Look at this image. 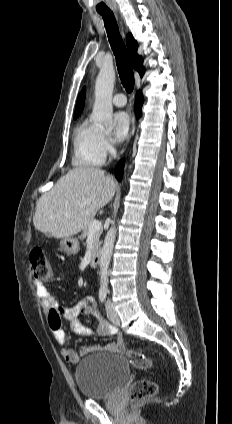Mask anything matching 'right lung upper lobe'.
I'll return each mask as SVG.
<instances>
[{
    "mask_svg": "<svg viewBox=\"0 0 232 424\" xmlns=\"http://www.w3.org/2000/svg\"><path fill=\"white\" fill-rule=\"evenodd\" d=\"M126 43L127 48L129 51V55L131 58V62L133 67L139 72L140 76L142 77L144 74V67H143V60L142 57L137 54L138 49V43L133 38L132 34H128L126 37ZM85 103V88L81 91L79 94V97L77 99L76 108H75V114L74 116H79L84 108Z\"/></svg>",
    "mask_w": 232,
    "mask_h": 424,
    "instance_id": "obj_1",
    "label": "right lung upper lobe"
}]
</instances>
